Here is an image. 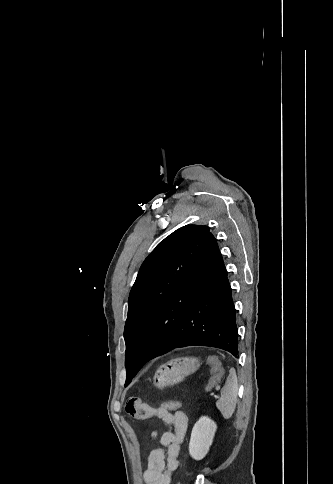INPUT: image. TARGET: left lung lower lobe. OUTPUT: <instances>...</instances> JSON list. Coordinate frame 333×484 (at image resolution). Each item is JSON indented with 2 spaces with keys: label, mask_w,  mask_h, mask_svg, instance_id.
Segmentation results:
<instances>
[{
  "label": "left lung lower lobe",
  "mask_w": 333,
  "mask_h": 484,
  "mask_svg": "<svg viewBox=\"0 0 333 484\" xmlns=\"http://www.w3.org/2000/svg\"><path fill=\"white\" fill-rule=\"evenodd\" d=\"M170 296L173 300L160 305L148 328L136 354L137 366L187 346L216 347L238 356L231 287L210 232L188 260Z\"/></svg>",
  "instance_id": "left-lung-lower-lobe-1"
}]
</instances>
